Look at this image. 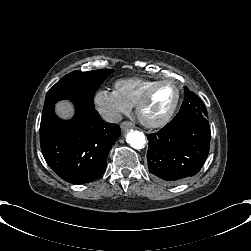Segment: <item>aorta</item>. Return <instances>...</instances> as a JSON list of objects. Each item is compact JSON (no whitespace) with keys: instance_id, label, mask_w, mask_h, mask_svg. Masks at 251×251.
I'll list each match as a JSON object with an SVG mask.
<instances>
[{"instance_id":"762f6f07","label":"aorta","mask_w":251,"mask_h":251,"mask_svg":"<svg viewBox=\"0 0 251 251\" xmlns=\"http://www.w3.org/2000/svg\"><path fill=\"white\" fill-rule=\"evenodd\" d=\"M126 142L134 149H142L145 146L146 140L143 132L132 130L126 135Z\"/></svg>"}]
</instances>
